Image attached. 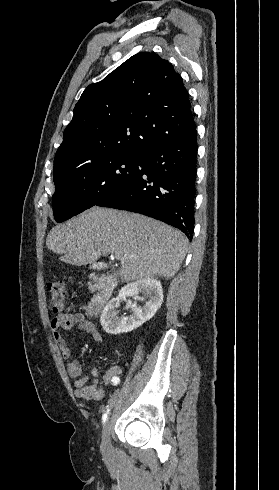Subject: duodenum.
Here are the masks:
<instances>
[{
  "mask_svg": "<svg viewBox=\"0 0 279 490\" xmlns=\"http://www.w3.org/2000/svg\"><path fill=\"white\" fill-rule=\"evenodd\" d=\"M95 268L102 270L105 268L103 264H95ZM117 279L111 274H103L99 279V287L96 294L90 300L87 306V313L91 316L97 315L111 298L114 290L117 287Z\"/></svg>",
  "mask_w": 279,
  "mask_h": 490,
  "instance_id": "obj_1",
  "label": "duodenum"
}]
</instances>
